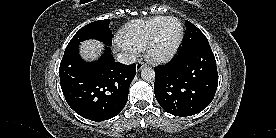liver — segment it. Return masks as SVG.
I'll list each match as a JSON object with an SVG mask.
<instances>
[{"instance_id": "1", "label": "liver", "mask_w": 276, "mask_h": 138, "mask_svg": "<svg viewBox=\"0 0 276 138\" xmlns=\"http://www.w3.org/2000/svg\"><path fill=\"white\" fill-rule=\"evenodd\" d=\"M102 44L95 40L84 41L80 46V53L84 60L93 61L98 58Z\"/></svg>"}]
</instances>
